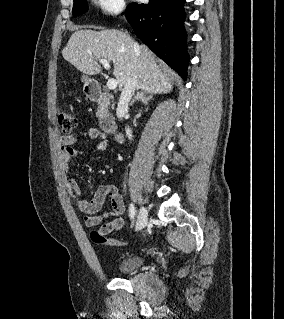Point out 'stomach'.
I'll list each match as a JSON object with an SVG mask.
<instances>
[{"label":"stomach","instance_id":"1","mask_svg":"<svg viewBox=\"0 0 284 319\" xmlns=\"http://www.w3.org/2000/svg\"><path fill=\"white\" fill-rule=\"evenodd\" d=\"M82 81L84 82L83 90L87 92L89 89V85L92 83V80L89 79L88 77H82Z\"/></svg>","mask_w":284,"mask_h":319}]
</instances>
